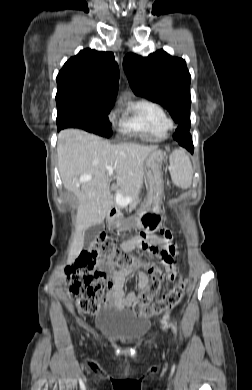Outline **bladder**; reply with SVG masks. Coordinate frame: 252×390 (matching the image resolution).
<instances>
[{
	"instance_id": "31cf9c89",
	"label": "bladder",
	"mask_w": 252,
	"mask_h": 390,
	"mask_svg": "<svg viewBox=\"0 0 252 390\" xmlns=\"http://www.w3.org/2000/svg\"><path fill=\"white\" fill-rule=\"evenodd\" d=\"M148 328L146 321L122 312H107L96 321V329L101 335L120 343L138 342Z\"/></svg>"
}]
</instances>
